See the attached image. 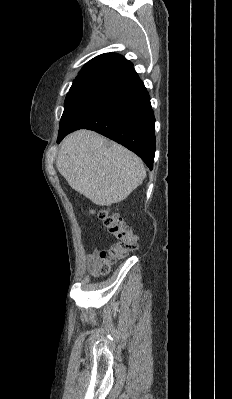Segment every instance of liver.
Masks as SVG:
<instances>
[{
	"instance_id": "6515ba94",
	"label": "liver",
	"mask_w": 232,
	"mask_h": 399,
	"mask_svg": "<svg viewBox=\"0 0 232 399\" xmlns=\"http://www.w3.org/2000/svg\"><path fill=\"white\" fill-rule=\"evenodd\" d=\"M56 166L73 190L97 205L125 200L146 178L136 154L89 130L64 138Z\"/></svg>"
}]
</instances>
